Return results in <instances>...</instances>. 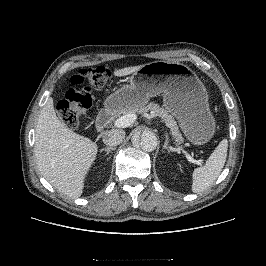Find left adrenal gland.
Instances as JSON below:
<instances>
[{
	"label": "left adrenal gland",
	"mask_w": 266,
	"mask_h": 266,
	"mask_svg": "<svg viewBox=\"0 0 266 266\" xmlns=\"http://www.w3.org/2000/svg\"><path fill=\"white\" fill-rule=\"evenodd\" d=\"M163 149H166L167 151H168V153H170V149H169V147H168V138L166 137V140H165V142H164V145H163Z\"/></svg>",
	"instance_id": "1"
}]
</instances>
